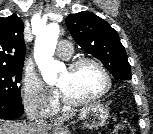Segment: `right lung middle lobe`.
<instances>
[{"label": "right lung middle lobe", "instance_id": "dd1d6c3e", "mask_svg": "<svg viewBox=\"0 0 153 134\" xmlns=\"http://www.w3.org/2000/svg\"><path fill=\"white\" fill-rule=\"evenodd\" d=\"M22 69L23 66L0 67V99L22 102L20 87L17 85L22 79Z\"/></svg>", "mask_w": 153, "mask_h": 134}]
</instances>
